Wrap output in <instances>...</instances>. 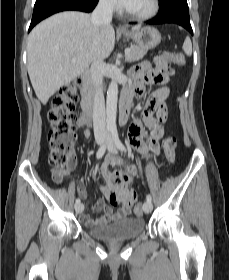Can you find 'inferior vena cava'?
<instances>
[{
    "label": "inferior vena cava",
    "instance_id": "602c4592",
    "mask_svg": "<svg viewBox=\"0 0 229 280\" xmlns=\"http://www.w3.org/2000/svg\"><path fill=\"white\" fill-rule=\"evenodd\" d=\"M112 0H99L96 8L91 15V21L97 26L110 24L113 15ZM103 70L104 62L102 59H96L91 65V79L94 85V105H93V127L96 136H105L106 128V113L105 100L103 94Z\"/></svg>",
    "mask_w": 229,
    "mask_h": 280
}]
</instances>
